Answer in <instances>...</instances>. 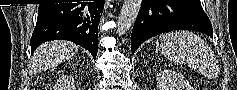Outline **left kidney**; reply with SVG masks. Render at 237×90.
<instances>
[{"label":"left kidney","instance_id":"obj_1","mask_svg":"<svg viewBox=\"0 0 237 90\" xmlns=\"http://www.w3.org/2000/svg\"><path fill=\"white\" fill-rule=\"evenodd\" d=\"M156 84L158 90H193L188 80L182 74L174 72V70H161V72H158Z\"/></svg>","mask_w":237,"mask_h":90}]
</instances>
